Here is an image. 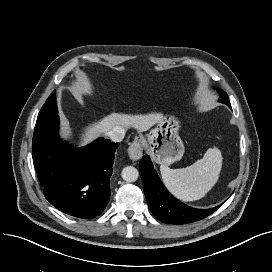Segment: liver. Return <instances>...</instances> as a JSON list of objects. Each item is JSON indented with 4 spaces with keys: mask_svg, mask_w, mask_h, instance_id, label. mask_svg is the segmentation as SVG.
<instances>
[{
    "mask_svg": "<svg viewBox=\"0 0 272 272\" xmlns=\"http://www.w3.org/2000/svg\"><path fill=\"white\" fill-rule=\"evenodd\" d=\"M162 115L158 113L146 115H128L112 113L98 122L91 123L85 127L80 134V146H85L95 140L100 134H106L113 127L125 128L133 127L139 132H144L154 126Z\"/></svg>",
    "mask_w": 272,
    "mask_h": 272,
    "instance_id": "obj_1",
    "label": "liver"
}]
</instances>
